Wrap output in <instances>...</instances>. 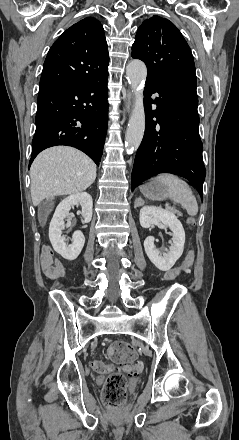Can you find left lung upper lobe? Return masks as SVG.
<instances>
[{
    "label": "left lung upper lobe",
    "instance_id": "obj_1",
    "mask_svg": "<svg viewBox=\"0 0 239 440\" xmlns=\"http://www.w3.org/2000/svg\"><path fill=\"white\" fill-rule=\"evenodd\" d=\"M132 57L144 61L147 78H183L196 81L190 47L177 27L153 16L140 25L132 46Z\"/></svg>",
    "mask_w": 239,
    "mask_h": 440
}]
</instances>
